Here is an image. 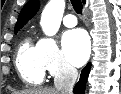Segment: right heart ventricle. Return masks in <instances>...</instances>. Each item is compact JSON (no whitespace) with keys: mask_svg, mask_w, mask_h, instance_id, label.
<instances>
[{"mask_svg":"<svg viewBox=\"0 0 121 94\" xmlns=\"http://www.w3.org/2000/svg\"><path fill=\"white\" fill-rule=\"evenodd\" d=\"M16 67L21 79L28 85H40L44 81L45 70L40 62L38 45L29 37L24 38L18 48Z\"/></svg>","mask_w":121,"mask_h":94,"instance_id":"obj_1","label":"right heart ventricle"}]
</instances>
